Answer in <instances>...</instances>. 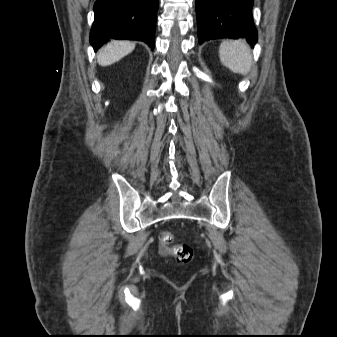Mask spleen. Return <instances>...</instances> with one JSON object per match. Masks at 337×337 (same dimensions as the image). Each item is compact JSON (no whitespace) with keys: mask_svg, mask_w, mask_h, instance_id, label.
I'll use <instances>...</instances> for the list:
<instances>
[{"mask_svg":"<svg viewBox=\"0 0 337 337\" xmlns=\"http://www.w3.org/2000/svg\"><path fill=\"white\" fill-rule=\"evenodd\" d=\"M219 58L221 63L233 73L246 75L253 63L248 45L240 40H226L220 44Z\"/></svg>","mask_w":337,"mask_h":337,"instance_id":"spleen-1","label":"spleen"}]
</instances>
